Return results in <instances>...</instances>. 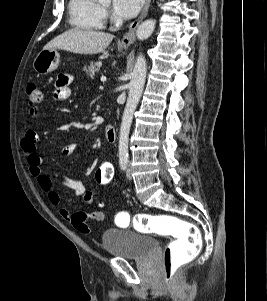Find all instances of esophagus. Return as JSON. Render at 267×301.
<instances>
[{"mask_svg": "<svg viewBox=\"0 0 267 301\" xmlns=\"http://www.w3.org/2000/svg\"><path fill=\"white\" fill-rule=\"evenodd\" d=\"M150 2L151 0H146L145 5L142 9L141 14L139 15V17L131 23L130 27H129V31L123 36L120 44L123 47H128L131 44H133L136 40V36H135V32L136 29L138 27V25L140 24V22L146 17L147 13H148V9L150 6Z\"/></svg>", "mask_w": 267, "mask_h": 301, "instance_id": "esophagus-1", "label": "esophagus"}]
</instances>
